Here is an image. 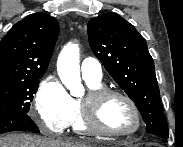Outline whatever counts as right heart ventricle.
Wrapping results in <instances>:
<instances>
[{
  "instance_id": "obj_1",
  "label": "right heart ventricle",
  "mask_w": 183,
  "mask_h": 147,
  "mask_svg": "<svg viewBox=\"0 0 183 147\" xmlns=\"http://www.w3.org/2000/svg\"><path fill=\"white\" fill-rule=\"evenodd\" d=\"M87 84L91 90L102 88L101 83L87 82ZM72 106H73V118L69 126L72 127L73 131L76 134H79V135L91 134L92 131L87 127L83 117L82 100L72 98Z\"/></svg>"
}]
</instances>
